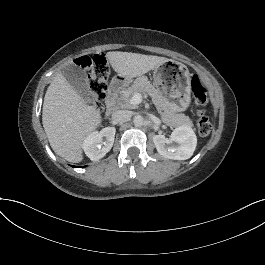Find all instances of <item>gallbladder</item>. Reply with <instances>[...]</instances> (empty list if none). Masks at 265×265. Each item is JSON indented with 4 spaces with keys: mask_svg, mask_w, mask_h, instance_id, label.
<instances>
[{
    "mask_svg": "<svg viewBox=\"0 0 265 265\" xmlns=\"http://www.w3.org/2000/svg\"><path fill=\"white\" fill-rule=\"evenodd\" d=\"M65 76L81 95L86 96L89 94L90 86L87 80V73L83 68L71 63L65 68Z\"/></svg>",
    "mask_w": 265,
    "mask_h": 265,
    "instance_id": "bac80fb5",
    "label": "gallbladder"
}]
</instances>
